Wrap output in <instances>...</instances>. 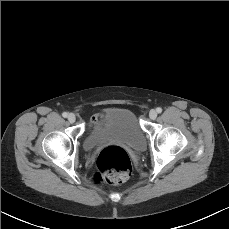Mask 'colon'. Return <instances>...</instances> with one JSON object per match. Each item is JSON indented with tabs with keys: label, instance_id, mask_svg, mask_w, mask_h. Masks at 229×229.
<instances>
[{
	"label": "colon",
	"instance_id": "obj_1",
	"mask_svg": "<svg viewBox=\"0 0 229 229\" xmlns=\"http://www.w3.org/2000/svg\"><path fill=\"white\" fill-rule=\"evenodd\" d=\"M131 161L126 151L119 146H108L97 157L95 179L119 184L128 179Z\"/></svg>",
	"mask_w": 229,
	"mask_h": 229
}]
</instances>
